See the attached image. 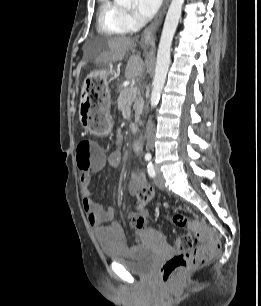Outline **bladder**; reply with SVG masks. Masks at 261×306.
Wrapping results in <instances>:
<instances>
[{"instance_id":"obj_1","label":"bladder","mask_w":261,"mask_h":306,"mask_svg":"<svg viewBox=\"0 0 261 306\" xmlns=\"http://www.w3.org/2000/svg\"><path fill=\"white\" fill-rule=\"evenodd\" d=\"M149 232L154 238H161L154 230H149ZM105 256L108 261L119 263L130 272L145 274L155 264L158 258V251L154 246L147 245L144 242H138L129 248L127 254L105 253Z\"/></svg>"}]
</instances>
